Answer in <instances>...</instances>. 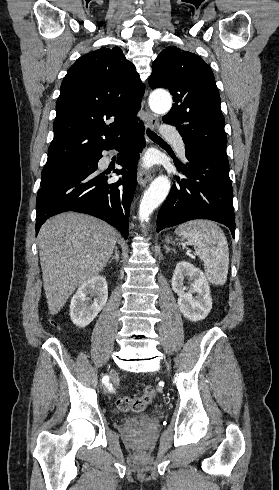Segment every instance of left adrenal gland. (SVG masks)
<instances>
[{
	"mask_svg": "<svg viewBox=\"0 0 279 490\" xmlns=\"http://www.w3.org/2000/svg\"><path fill=\"white\" fill-rule=\"evenodd\" d=\"M165 250H166V254H168V252H170V250H172V252H174V254H177L175 248H169V246H164Z\"/></svg>",
	"mask_w": 279,
	"mask_h": 490,
	"instance_id": "1",
	"label": "left adrenal gland"
}]
</instances>
